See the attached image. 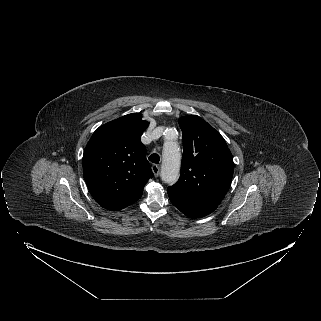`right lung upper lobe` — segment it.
<instances>
[{"label":"right lung upper lobe","mask_w":321,"mask_h":321,"mask_svg":"<svg viewBox=\"0 0 321 321\" xmlns=\"http://www.w3.org/2000/svg\"><path fill=\"white\" fill-rule=\"evenodd\" d=\"M149 123L136 113L100 126L83 154V173L97 203L118 211L135 203L153 172L141 134Z\"/></svg>","instance_id":"right-lung-upper-lobe-1"}]
</instances>
